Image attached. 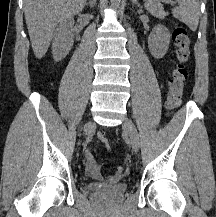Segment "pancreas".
I'll return each instance as SVG.
<instances>
[{
    "label": "pancreas",
    "mask_w": 216,
    "mask_h": 217,
    "mask_svg": "<svg viewBox=\"0 0 216 217\" xmlns=\"http://www.w3.org/2000/svg\"><path fill=\"white\" fill-rule=\"evenodd\" d=\"M146 9L155 17L163 19L167 16L164 12L163 6L158 3V0H145Z\"/></svg>",
    "instance_id": "1"
}]
</instances>
